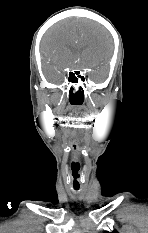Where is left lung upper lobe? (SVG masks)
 Listing matches in <instances>:
<instances>
[{
    "mask_svg": "<svg viewBox=\"0 0 148 233\" xmlns=\"http://www.w3.org/2000/svg\"><path fill=\"white\" fill-rule=\"evenodd\" d=\"M104 233H118V232L114 230L113 232L105 231Z\"/></svg>",
    "mask_w": 148,
    "mask_h": 233,
    "instance_id": "obj_1",
    "label": "left lung upper lobe"
}]
</instances>
